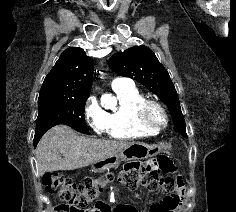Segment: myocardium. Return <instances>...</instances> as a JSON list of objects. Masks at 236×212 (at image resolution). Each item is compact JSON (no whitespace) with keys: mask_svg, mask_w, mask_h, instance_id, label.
Wrapping results in <instances>:
<instances>
[{"mask_svg":"<svg viewBox=\"0 0 236 212\" xmlns=\"http://www.w3.org/2000/svg\"><path fill=\"white\" fill-rule=\"evenodd\" d=\"M155 111L161 115V122L155 121L153 117V113ZM138 120L143 126L152 129L155 132H158L168 125L169 115L166 108L160 102L152 99H147L139 107Z\"/></svg>","mask_w":236,"mask_h":212,"instance_id":"myocardium-1","label":"myocardium"}]
</instances>
